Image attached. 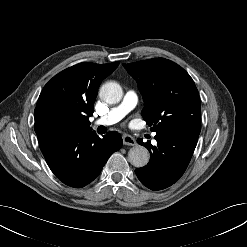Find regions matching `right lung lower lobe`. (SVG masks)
I'll return each instance as SVG.
<instances>
[{"instance_id":"obj_1","label":"right lung lower lobe","mask_w":247,"mask_h":247,"mask_svg":"<svg viewBox=\"0 0 247 247\" xmlns=\"http://www.w3.org/2000/svg\"><path fill=\"white\" fill-rule=\"evenodd\" d=\"M121 135L99 138L92 130L50 131L40 149L54 175L64 184L81 188L92 182L109 157L122 146Z\"/></svg>"}]
</instances>
